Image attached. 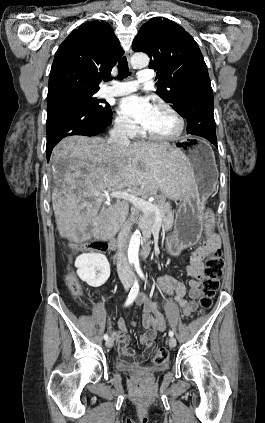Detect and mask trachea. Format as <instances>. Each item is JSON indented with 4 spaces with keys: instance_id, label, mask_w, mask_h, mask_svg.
I'll use <instances>...</instances> for the list:
<instances>
[{
    "instance_id": "3493384b",
    "label": "trachea",
    "mask_w": 265,
    "mask_h": 423,
    "mask_svg": "<svg viewBox=\"0 0 265 423\" xmlns=\"http://www.w3.org/2000/svg\"><path fill=\"white\" fill-rule=\"evenodd\" d=\"M128 75H130L128 62H127L126 57H122L119 60V63H118V76H117V78L119 80H122V79L126 78ZM104 79H105V81H110L113 78L111 76H106Z\"/></svg>"
}]
</instances>
